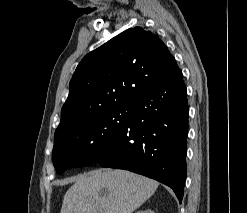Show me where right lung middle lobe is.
Instances as JSON below:
<instances>
[{"label":"right lung middle lobe","instance_id":"obj_1","mask_svg":"<svg viewBox=\"0 0 247 213\" xmlns=\"http://www.w3.org/2000/svg\"><path fill=\"white\" fill-rule=\"evenodd\" d=\"M131 111V103L122 102L55 137L53 165L57 174L96 163L109 149L115 133L126 124Z\"/></svg>","mask_w":247,"mask_h":213}]
</instances>
